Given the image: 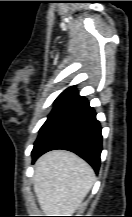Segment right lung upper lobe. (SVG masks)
<instances>
[{
  "label": "right lung upper lobe",
  "mask_w": 132,
  "mask_h": 217,
  "mask_svg": "<svg viewBox=\"0 0 132 217\" xmlns=\"http://www.w3.org/2000/svg\"><path fill=\"white\" fill-rule=\"evenodd\" d=\"M62 94L73 95L76 98H80V96L78 95V92L75 89V86H71V87L67 88Z\"/></svg>",
  "instance_id": "right-lung-upper-lobe-1"
}]
</instances>
